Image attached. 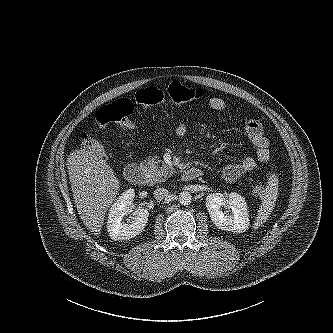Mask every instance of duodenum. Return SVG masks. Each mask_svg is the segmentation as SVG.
Segmentation results:
<instances>
[{"instance_id":"duodenum-1","label":"duodenum","mask_w":333,"mask_h":333,"mask_svg":"<svg viewBox=\"0 0 333 333\" xmlns=\"http://www.w3.org/2000/svg\"><path fill=\"white\" fill-rule=\"evenodd\" d=\"M125 178L133 185H144L147 182V177L143 168L137 163H130L124 170ZM202 175L201 169L191 167L186 169L182 174L183 181H193Z\"/></svg>"}]
</instances>
